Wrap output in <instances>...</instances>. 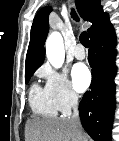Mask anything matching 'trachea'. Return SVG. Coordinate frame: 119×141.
Here are the masks:
<instances>
[{
	"label": "trachea",
	"mask_w": 119,
	"mask_h": 141,
	"mask_svg": "<svg viewBox=\"0 0 119 141\" xmlns=\"http://www.w3.org/2000/svg\"><path fill=\"white\" fill-rule=\"evenodd\" d=\"M71 16H72V18H74L76 21L79 20V19H78V16H77V14L75 13L74 10H72ZM79 40H80L81 44H82L84 47H86V48L90 47L89 37H88V34H87L86 32H82V33H81Z\"/></svg>",
	"instance_id": "3493384b"
}]
</instances>
